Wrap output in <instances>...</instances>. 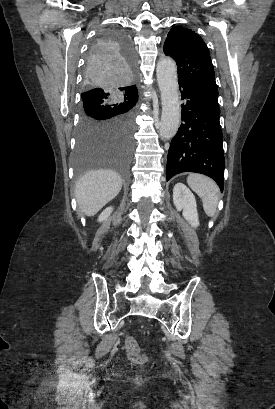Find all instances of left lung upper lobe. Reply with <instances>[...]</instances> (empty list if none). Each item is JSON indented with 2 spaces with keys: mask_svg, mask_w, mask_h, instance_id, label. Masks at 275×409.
I'll return each mask as SVG.
<instances>
[{
  "mask_svg": "<svg viewBox=\"0 0 275 409\" xmlns=\"http://www.w3.org/2000/svg\"><path fill=\"white\" fill-rule=\"evenodd\" d=\"M164 53L176 61L178 82L218 94L210 54L199 35L181 26L173 27L164 43Z\"/></svg>",
  "mask_w": 275,
  "mask_h": 409,
  "instance_id": "obj_1",
  "label": "left lung upper lobe"
}]
</instances>
